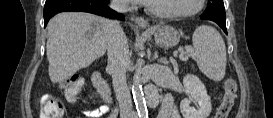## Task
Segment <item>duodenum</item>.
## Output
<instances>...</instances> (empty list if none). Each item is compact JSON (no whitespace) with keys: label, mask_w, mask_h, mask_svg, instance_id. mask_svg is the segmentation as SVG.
I'll return each mask as SVG.
<instances>
[{"label":"duodenum","mask_w":273,"mask_h":118,"mask_svg":"<svg viewBox=\"0 0 273 118\" xmlns=\"http://www.w3.org/2000/svg\"><path fill=\"white\" fill-rule=\"evenodd\" d=\"M92 80L95 88L97 89L103 100H105L106 102H111L113 100L111 89L98 71L93 73Z\"/></svg>","instance_id":"410a0bca"}]
</instances>
